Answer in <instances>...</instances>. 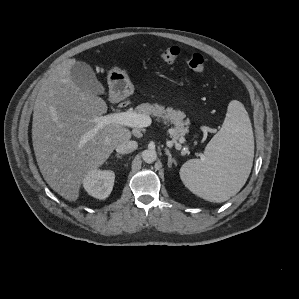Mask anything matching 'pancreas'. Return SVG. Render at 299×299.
I'll return each mask as SVG.
<instances>
[{
  "mask_svg": "<svg viewBox=\"0 0 299 299\" xmlns=\"http://www.w3.org/2000/svg\"><path fill=\"white\" fill-rule=\"evenodd\" d=\"M130 112L170 122L174 126L171 133V138L174 141L181 139L188 132L189 121H184L185 114L179 110L169 107L165 109L158 104L143 103Z\"/></svg>",
  "mask_w": 299,
  "mask_h": 299,
  "instance_id": "cf45deb5",
  "label": "pancreas"
}]
</instances>
